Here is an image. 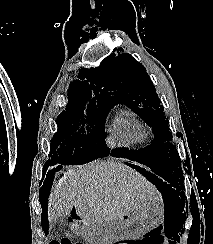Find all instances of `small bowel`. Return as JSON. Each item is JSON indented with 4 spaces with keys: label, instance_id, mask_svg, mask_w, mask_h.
<instances>
[{
    "label": "small bowel",
    "instance_id": "obj_1",
    "mask_svg": "<svg viewBox=\"0 0 213 244\" xmlns=\"http://www.w3.org/2000/svg\"><path fill=\"white\" fill-rule=\"evenodd\" d=\"M117 244H127V243H117Z\"/></svg>",
    "mask_w": 213,
    "mask_h": 244
}]
</instances>
